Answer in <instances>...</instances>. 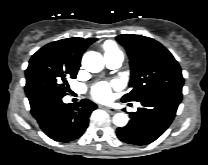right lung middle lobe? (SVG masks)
I'll return each instance as SVG.
<instances>
[{"mask_svg": "<svg viewBox=\"0 0 208 165\" xmlns=\"http://www.w3.org/2000/svg\"><path fill=\"white\" fill-rule=\"evenodd\" d=\"M80 64L58 49L44 46L30 59L25 93L31 106L51 97L67 95L68 78H76Z\"/></svg>", "mask_w": 208, "mask_h": 165, "instance_id": "obj_1", "label": "right lung middle lobe"}]
</instances>
